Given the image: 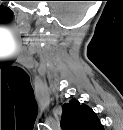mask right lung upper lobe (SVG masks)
I'll return each instance as SVG.
<instances>
[{"label": "right lung upper lobe", "instance_id": "cb5924a9", "mask_svg": "<svg viewBox=\"0 0 123 130\" xmlns=\"http://www.w3.org/2000/svg\"><path fill=\"white\" fill-rule=\"evenodd\" d=\"M61 128L64 130H102L96 113L87 105L72 99L64 104Z\"/></svg>", "mask_w": 123, "mask_h": 130}]
</instances>
